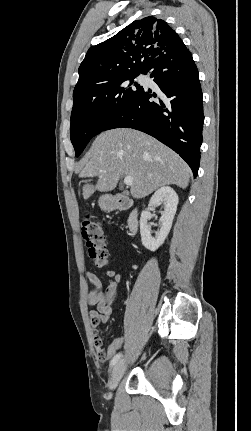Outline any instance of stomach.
Masks as SVG:
<instances>
[{"mask_svg": "<svg viewBox=\"0 0 251 431\" xmlns=\"http://www.w3.org/2000/svg\"><path fill=\"white\" fill-rule=\"evenodd\" d=\"M99 206L102 210L111 211L116 208V203L111 196L104 195L99 198Z\"/></svg>", "mask_w": 251, "mask_h": 431, "instance_id": "obj_1", "label": "stomach"}]
</instances>
